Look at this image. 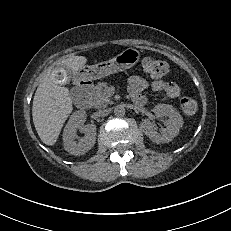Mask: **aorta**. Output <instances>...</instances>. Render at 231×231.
<instances>
[{
    "label": "aorta",
    "instance_id": "aorta-1",
    "mask_svg": "<svg viewBox=\"0 0 231 231\" xmlns=\"http://www.w3.org/2000/svg\"><path fill=\"white\" fill-rule=\"evenodd\" d=\"M114 114L118 117H123L125 115V108L122 105H117L114 108Z\"/></svg>",
    "mask_w": 231,
    "mask_h": 231
}]
</instances>
